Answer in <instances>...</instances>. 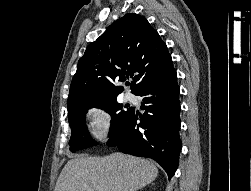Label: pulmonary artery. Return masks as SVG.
I'll use <instances>...</instances> for the list:
<instances>
[{"label": "pulmonary artery", "instance_id": "obj_1", "mask_svg": "<svg viewBox=\"0 0 251 191\" xmlns=\"http://www.w3.org/2000/svg\"><path fill=\"white\" fill-rule=\"evenodd\" d=\"M124 98H125L126 100H128V101H132V100H134V95H133L132 93H130V92H126V93L124 94Z\"/></svg>", "mask_w": 251, "mask_h": 191}]
</instances>
